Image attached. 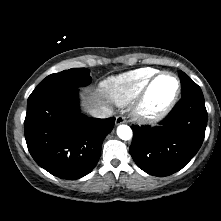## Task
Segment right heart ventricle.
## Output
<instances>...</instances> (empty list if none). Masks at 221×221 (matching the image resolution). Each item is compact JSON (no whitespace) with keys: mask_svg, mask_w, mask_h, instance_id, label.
Returning a JSON list of instances; mask_svg holds the SVG:
<instances>
[{"mask_svg":"<svg viewBox=\"0 0 221 221\" xmlns=\"http://www.w3.org/2000/svg\"><path fill=\"white\" fill-rule=\"evenodd\" d=\"M157 73L150 67H143L109 77L101 83L102 91L117 105H125L136 98L148 80Z\"/></svg>","mask_w":221,"mask_h":221,"instance_id":"right-heart-ventricle-1","label":"right heart ventricle"}]
</instances>
